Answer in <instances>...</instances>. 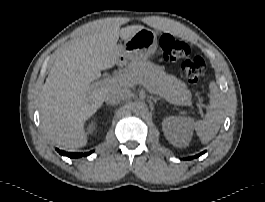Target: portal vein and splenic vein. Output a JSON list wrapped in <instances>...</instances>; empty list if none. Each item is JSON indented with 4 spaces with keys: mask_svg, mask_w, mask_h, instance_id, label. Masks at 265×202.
Masks as SVG:
<instances>
[{
    "mask_svg": "<svg viewBox=\"0 0 265 202\" xmlns=\"http://www.w3.org/2000/svg\"><path fill=\"white\" fill-rule=\"evenodd\" d=\"M115 83H119V84H122V85H129V84H131V79L125 74H118V75L113 76V77H111V76L110 77H106L103 80L96 82L94 85L95 86H101V85L115 84ZM142 84L147 90H149L150 92L161 96L167 102H169L171 104H176L170 98H168V97H166L164 95L158 94L157 92L153 91L152 88L146 82H143Z\"/></svg>",
    "mask_w": 265,
    "mask_h": 202,
    "instance_id": "obj_1",
    "label": "portal vein and splenic vein"
}]
</instances>
